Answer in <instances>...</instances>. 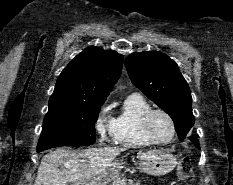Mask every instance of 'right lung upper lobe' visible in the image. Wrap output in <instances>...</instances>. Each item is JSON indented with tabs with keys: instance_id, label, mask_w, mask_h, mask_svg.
Here are the masks:
<instances>
[{
	"instance_id": "obj_1",
	"label": "right lung upper lobe",
	"mask_w": 233,
	"mask_h": 185,
	"mask_svg": "<svg viewBox=\"0 0 233 185\" xmlns=\"http://www.w3.org/2000/svg\"><path fill=\"white\" fill-rule=\"evenodd\" d=\"M122 65L123 56L117 52L90 46L62 71L52 96L84 101L106 100L121 75Z\"/></svg>"
}]
</instances>
